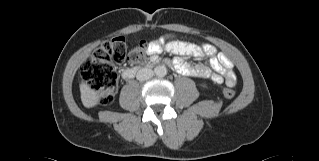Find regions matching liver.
<instances>
[{
	"mask_svg": "<svg viewBox=\"0 0 319 161\" xmlns=\"http://www.w3.org/2000/svg\"><path fill=\"white\" fill-rule=\"evenodd\" d=\"M80 92L81 101L86 108H91L98 104L100 100L99 95L84 81L80 84Z\"/></svg>",
	"mask_w": 319,
	"mask_h": 161,
	"instance_id": "liver-1",
	"label": "liver"
}]
</instances>
